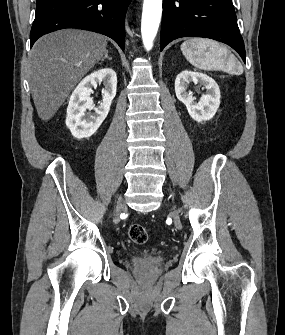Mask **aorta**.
<instances>
[{"instance_id":"1","label":"aorta","mask_w":285,"mask_h":335,"mask_svg":"<svg viewBox=\"0 0 285 335\" xmlns=\"http://www.w3.org/2000/svg\"><path fill=\"white\" fill-rule=\"evenodd\" d=\"M162 14V0H144L141 34L145 50L153 48Z\"/></svg>"}]
</instances>
